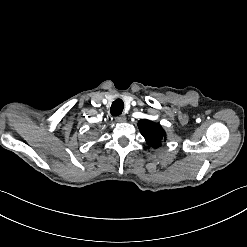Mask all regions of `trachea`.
I'll return each mask as SVG.
<instances>
[{
    "mask_svg": "<svg viewBox=\"0 0 247 247\" xmlns=\"http://www.w3.org/2000/svg\"><path fill=\"white\" fill-rule=\"evenodd\" d=\"M124 108V103L121 99L115 100L111 105V114L113 116H118L122 113Z\"/></svg>",
    "mask_w": 247,
    "mask_h": 247,
    "instance_id": "obj_1",
    "label": "trachea"
}]
</instances>
